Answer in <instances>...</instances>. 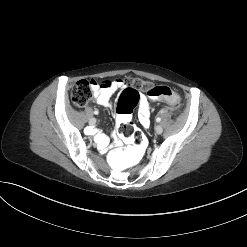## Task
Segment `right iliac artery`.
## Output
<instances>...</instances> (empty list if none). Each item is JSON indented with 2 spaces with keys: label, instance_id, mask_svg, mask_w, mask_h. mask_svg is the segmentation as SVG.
<instances>
[{
  "label": "right iliac artery",
  "instance_id": "82829eb1",
  "mask_svg": "<svg viewBox=\"0 0 247 247\" xmlns=\"http://www.w3.org/2000/svg\"><path fill=\"white\" fill-rule=\"evenodd\" d=\"M94 114H98V111H94Z\"/></svg>",
  "mask_w": 247,
  "mask_h": 247
}]
</instances>
